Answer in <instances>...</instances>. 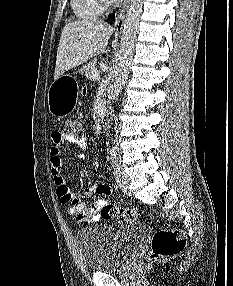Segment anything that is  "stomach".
<instances>
[{"instance_id": "stomach-1", "label": "stomach", "mask_w": 233, "mask_h": 286, "mask_svg": "<svg viewBox=\"0 0 233 286\" xmlns=\"http://www.w3.org/2000/svg\"><path fill=\"white\" fill-rule=\"evenodd\" d=\"M77 89L66 80L65 76L55 79L48 90V106L50 113L62 118L75 107Z\"/></svg>"}]
</instances>
